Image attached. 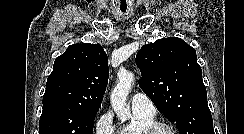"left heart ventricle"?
<instances>
[{
  "label": "left heart ventricle",
  "instance_id": "obj_1",
  "mask_svg": "<svg viewBox=\"0 0 244 134\" xmlns=\"http://www.w3.org/2000/svg\"><path fill=\"white\" fill-rule=\"evenodd\" d=\"M156 134H171V133L168 130H166V129H160V130L157 131Z\"/></svg>",
  "mask_w": 244,
  "mask_h": 134
}]
</instances>
